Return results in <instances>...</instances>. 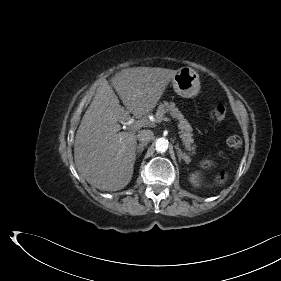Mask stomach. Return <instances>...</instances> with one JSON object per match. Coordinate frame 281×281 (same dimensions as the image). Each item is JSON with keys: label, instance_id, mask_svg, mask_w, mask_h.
Here are the masks:
<instances>
[{"label": "stomach", "instance_id": "1", "mask_svg": "<svg viewBox=\"0 0 281 281\" xmlns=\"http://www.w3.org/2000/svg\"><path fill=\"white\" fill-rule=\"evenodd\" d=\"M172 85L174 91L181 97H194L200 90L199 75L191 67H181L173 76Z\"/></svg>", "mask_w": 281, "mask_h": 281}]
</instances>
